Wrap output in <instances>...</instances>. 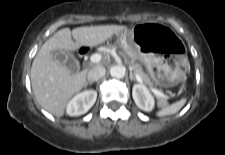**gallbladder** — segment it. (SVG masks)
Listing matches in <instances>:
<instances>
[{
  "label": "gallbladder",
  "instance_id": "1",
  "mask_svg": "<svg viewBox=\"0 0 225 155\" xmlns=\"http://www.w3.org/2000/svg\"><path fill=\"white\" fill-rule=\"evenodd\" d=\"M51 55L55 61L67 67L71 72L78 70V61L71 53L64 50H53Z\"/></svg>",
  "mask_w": 225,
  "mask_h": 155
}]
</instances>
